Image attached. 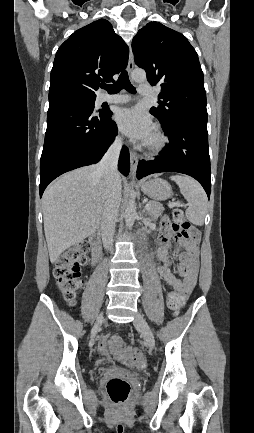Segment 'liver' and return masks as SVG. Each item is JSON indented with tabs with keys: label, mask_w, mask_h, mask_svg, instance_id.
Wrapping results in <instances>:
<instances>
[{
	"label": "liver",
	"mask_w": 254,
	"mask_h": 433,
	"mask_svg": "<svg viewBox=\"0 0 254 433\" xmlns=\"http://www.w3.org/2000/svg\"><path fill=\"white\" fill-rule=\"evenodd\" d=\"M106 197L105 175L98 170V165L66 173L47 188L42 203L51 263L96 230Z\"/></svg>",
	"instance_id": "1"
}]
</instances>
